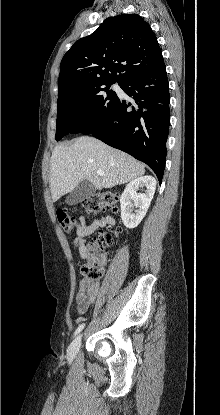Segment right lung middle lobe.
Listing matches in <instances>:
<instances>
[{
    "instance_id": "right-lung-middle-lobe-1",
    "label": "right lung middle lobe",
    "mask_w": 220,
    "mask_h": 415,
    "mask_svg": "<svg viewBox=\"0 0 220 415\" xmlns=\"http://www.w3.org/2000/svg\"><path fill=\"white\" fill-rule=\"evenodd\" d=\"M113 83L81 84L58 94L57 141L68 133H90L106 121L117 99L109 89Z\"/></svg>"
}]
</instances>
